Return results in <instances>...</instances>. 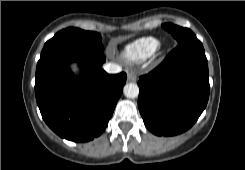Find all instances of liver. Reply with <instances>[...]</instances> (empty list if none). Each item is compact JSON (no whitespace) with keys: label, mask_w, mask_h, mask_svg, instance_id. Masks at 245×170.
Returning <instances> with one entry per match:
<instances>
[{"label":"liver","mask_w":245,"mask_h":170,"mask_svg":"<svg viewBox=\"0 0 245 170\" xmlns=\"http://www.w3.org/2000/svg\"><path fill=\"white\" fill-rule=\"evenodd\" d=\"M73 71L77 73L78 72V69L76 67H74L73 68Z\"/></svg>","instance_id":"liver-1"}]
</instances>
